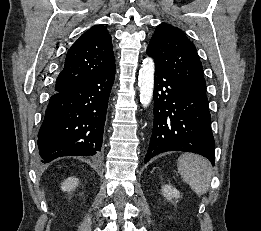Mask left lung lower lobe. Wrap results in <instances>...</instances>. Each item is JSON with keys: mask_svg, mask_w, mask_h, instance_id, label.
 I'll return each mask as SVG.
<instances>
[{"mask_svg": "<svg viewBox=\"0 0 261 231\" xmlns=\"http://www.w3.org/2000/svg\"><path fill=\"white\" fill-rule=\"evenodd\" d=\"M167 151L193 152L215 163L208 100L155 67L154 122L144 163Z\"/></svg>", "mask_w": 261, "mask_h": 231, "instance_id": "1", "label": "left lung lower lobe"}]
</instances>
